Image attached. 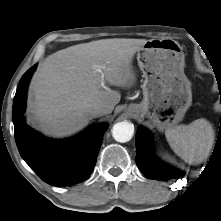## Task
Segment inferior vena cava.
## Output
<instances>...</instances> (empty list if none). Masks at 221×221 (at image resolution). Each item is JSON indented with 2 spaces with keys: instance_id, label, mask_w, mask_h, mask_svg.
<instances>
[{
  "instance_id": "inferior-vena-cava-1",
  "label": "inferior vena cava",
  "mask_w": 221,
  "mask_h": 221,
  "mask_svg": "<svg viewBox=\"0 0 221 221\" xmlns=\"http://www.w3.org/2000/svg\"><path fill=\"white\" fill-rule=\"evenodd\" d=\"M105 112H106V109L102 105H90L86 109V113L90 118L102 116L103 114H105Z\"/></svg>"
}]
</instances>
